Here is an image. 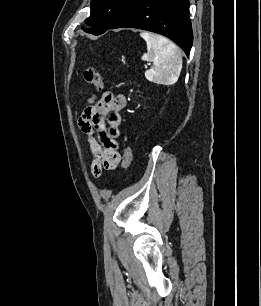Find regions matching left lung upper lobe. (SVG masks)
<instances>
[{
    "mask_svg": "<svg viewBox=\"0 0 261 306\" xmlns=\"http://www.w3.org/2000/svg\"><path fill=\"white\" fill-rule=\"evenodd\" d=\"M133 0H91L90 16L86 24L93 28L82 29L94 35H100L110 29L125 13Z\"/></svg>",
    "mask_w": 261,
    "mask_h": 306,
    "instance_id": "1",
    "label": "left lung upper lobe"
}]
</instances>
